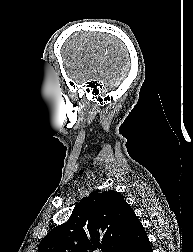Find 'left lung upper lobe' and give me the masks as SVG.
I'll return each instance as SVG.
<instances>
[{"mask_svg": "<svg viewBox=\"0 0 193 252\" xmlns=\"http://www.w3.org/2000/svg\"><path fill=\"white\" fill-rule=\"evenodd\" d=\"M138 224L120 193L93 191L76 205L66 223L42 239L38 252H125Z\"/></svg>", "mask_w": 193, "mask_h": 252, "instance_id": "left-lung-upper-lobe-1", "label": "left lung upper lobe"}]
</instances>
